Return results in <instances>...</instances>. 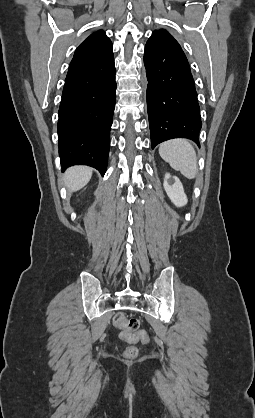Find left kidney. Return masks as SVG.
Segmentation results:
<instances>
[{
    "label": "left kidney",
    "instance_id": "left-kidney-1",
    "mask_svg": "<svg viewBox=\"0 0 255 418\" xmlns=\"http://www.w3.org/2000/svg\"><path fill=\"white\" fill-rule=\"evenodd\" d=\"M164 189L175 206L182 207L187 204L188 200L183 185L176 176L171 177L169 173L165 175Z\"/></svg>",
    "mask_w": 255,
    "mask_h": 418
}]
</instances>
